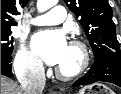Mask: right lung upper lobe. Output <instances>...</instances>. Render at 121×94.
<instances>
[{"label": "right lung upper lobe", "mask_w": 121, "mask_h": 94, "mask_svg": "<svg viewBox=\"0 0 121 94\" xmlns=\"http://www.w3.org/2000/svg\"><path fill=\"white\" fill-rule=\"evenodd\" d=\"M29 0H1V30H8L16 26L13 16L18 15V10L23 8Z\"/></svg>", "instance_id": "obj_1"}]
</instances>
